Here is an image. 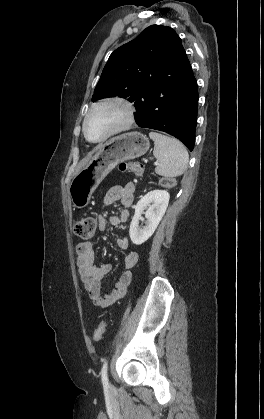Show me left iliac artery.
I'll use <instances>...</instances> for the list:
<instances>
[{"mask_svg":"<svg viewBox=\"0 0 264 419\" xmlns=\"http://www.w3.org/2000/svg\"><path fill=\"white\" fill-rule=\"evenodd\" d=\"M107 368H108V362L107 360H105L101 369V378H102V383L104 386H108Z\"/></svg>","mask_w":264,"mask_h":419,"instance_id":"1","label":"left iliac artery"}]
</instances>
